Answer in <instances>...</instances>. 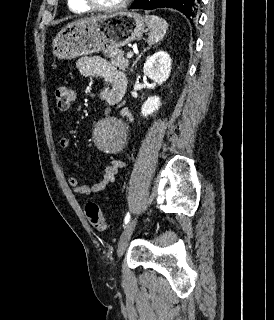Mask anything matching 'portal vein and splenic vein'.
<instances>
[{
	"mask_svg": "<svg viewBox=\"0 0 274 320\" xmlns=\"http://www.w3.org/2000/svg\"><path fill=\"white\" fill-rule=\"evenodd\" d=\"M133 52H127V58H132Z\"/></svg>",
	"mask_w": 274,
	"mask_h": 320,
	"instance_id": "1",
	"label": "portal vein and splenic vein"
}]
</instances>
